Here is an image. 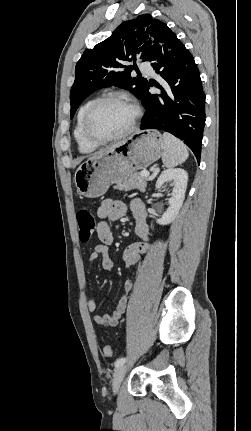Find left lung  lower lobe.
Wrapping results in <instances>:
<instances>
[{
  "instance_id": "obj_1",
  "label": "left lung lower lobe",
  "mask_w": 251,
  "mask_h": 431,
  "mask_svg": "<svg viewBox=\"0 0 251 431\" xmlns=\"http://www.w3.org/2000/svg\"><path fill=\"white\" fill-rule=\"evenodd\" d=\"M151 66L164 79L148 84L141 99L146 113L141 129H160L184 141L198 162L205 125V94L194 58L174 33L153 51ZM150 86L161 93L150 94Z\"/></svg>"
}]
</instances>
